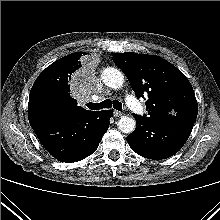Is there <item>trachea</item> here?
I'll list each match as a JSON object with an SVG mask.
<instances>
[{"label": "trachea", "instance_id": "1", "mask_svg": "<svg viewBox=\"0 0 220 220\" xmlns=\"http://www.w3.org/2000/svg\"><path fill=\"white\" fill-rule=\"evenodd\" d=\"M86 106L91 110H100L104 108L113 107L114 109L121 111L122 110V103L118 100L111 101L110 99L104 100L101 103H87Z\"/></svg>", "mask_w": 220, "mask_h": 220}]
</instances>
